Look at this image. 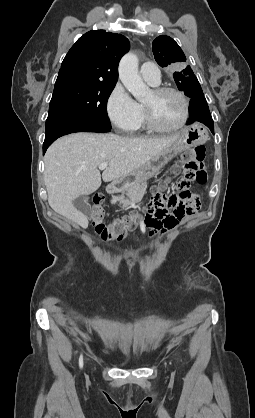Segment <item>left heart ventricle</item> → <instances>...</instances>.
<instances>
[{"label":"left heart ventricle","mask_w":255,"mask_h":418,"mask_svg":"<svg viewBox=\"0 0 255 418\" xmlns=\"http://www.w3.org/2000/svg\"><path fill=\"white\" fill-rule=\"evenodd\" d=\"M144 104L151 109L156 122L163 127H173L183 118V102L174 93L156 95L152 91Z\"/></svg>","instance_id":"1"}]
</instances>
